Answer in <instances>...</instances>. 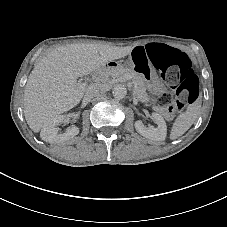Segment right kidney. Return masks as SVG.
<instances>
[{"instance_id":"1","label":"right kidney","mask_w":227,"mask_h":227,"mask_svg":"<svg viewBox=\"0 0 227 227\" xmlns=\"http://www.w3.org/2000/svg\"><path fill=\"white\" fill-rule=\"evenodd\" d=\"M79 115L80 114L78 112H70L62 115H56L49 119L41 129V139L49 143H54L64 142L73 138L79 133V129L76 126L67 128L65 132L59 133L60 129L59 127H56V124L62 121H68L69 119L75 121L79 118Z\"/></svg>"}]
</instances>
